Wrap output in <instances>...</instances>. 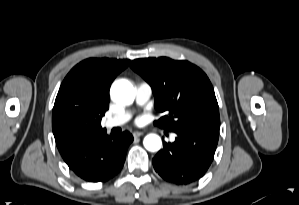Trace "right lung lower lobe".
I'll list each match as a JSON object with an SVG mask.
<instances>
[{"mask_svg": "<svg viewBox=\"0 0 299 205\" xmlns=\"http://www.w3.org/2000/svg\"><path fill=\"white\" fill-rule=\"evenodd\" d=\"M132 141L133 136L127 131L120 137H111L105 132L86 141L65 162L83 180L105 182L121 171Z\"/></svg>", "mask_w": 299, "mask_h": 205, "instance_id": "obj_1", "label": "right lung lower lobe"}]
</instances>
